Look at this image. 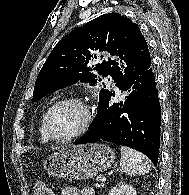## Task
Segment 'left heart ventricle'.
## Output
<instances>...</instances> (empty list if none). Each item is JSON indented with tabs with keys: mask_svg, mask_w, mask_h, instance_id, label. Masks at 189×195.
<instances>
[{
	"mask_svg": "<svg viewBox=\"0 0 189 195\" xmlns=\"http://www.w3.org/2000/svg\"><path fill=\"white\" fill-rule=\"evenodd\" d=\"M85 118V111L81 106L65 104L54 111L50 126L54 135L66 137L77 132L82 127Z\"/></svg>",
	"mask_w": 189,
	"mask_h": 195,
	"instance_id": "left-heart-ventricle-1",
	"label": "left heart ventricle"
}]
</instances>
